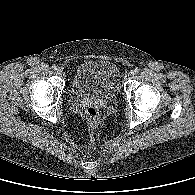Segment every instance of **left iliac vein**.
<instances>
[{
	"instance_id": "left-iliac-vein-1",
	"label": "left iliac vein",
	"mask_w": 195,
	"mask_h": 195,
	"mask_svg": "<svg viewBox=\"0 0 195 195\" xmlns=\"http://www.w3.org/2000/svg\"><path fill=\"white\" fill-rule=\"evenodd\" d=\"M134 76V73L131 71L129 74H128V77L129 78H132Z\"/></svg>"
}]
</instances>
